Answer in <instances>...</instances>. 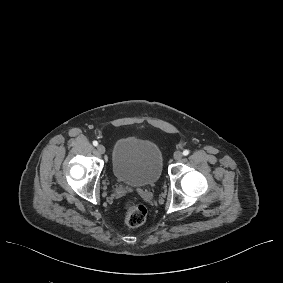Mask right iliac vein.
I'll use <instances>...</instances> for the list:
<instances>
[{
  "mask_svg": "<svg viewBox=\"0 0 283 283\" xmlns=\"http://www.w3.org/2000/svg\"><path fill=\"white\" fill-rule=\"evenodd\" d=\"M97 151L100 154H104L105 153V147L102 144L97 145Z\"/></svg>",
  "mask_w": 283,
  "mask_h": 283,
  "instance_id": "right-iliac-vein-1",
  "label": "right iliac vein"
}]
</instances>
